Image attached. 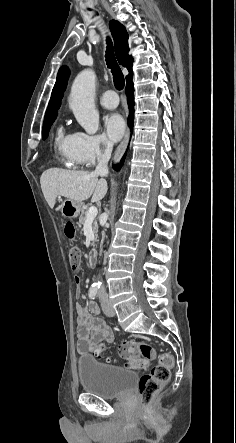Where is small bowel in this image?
<instances>
[{
	"label": "small bowel",
	"mask_w": 236,
	"mask_h": 443,
	"mask_svg": "<svg viewBox=\"0 0 236 443\" xmlns=\"http://www.w3.org/2000/svg\"><path fill=\"white\" fill-rule=\"evenodd\" d=\"M75 283L80 285L81 280L75 277ZM76 295H80V289L77 288ZM77 315V351L84 354L92 350L99 342H112L114 340L113 333L109 330L105 322L98 316L99 307L96 303L91 302L88 306L82 304L76 305Z\"/></svg>",
	"instance_id": "obj_1"
}]
</instances>
